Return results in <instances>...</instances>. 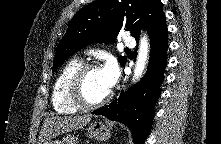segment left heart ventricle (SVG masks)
Listing matches in <instances>:
<instances>
[{
	"label": "left heart ventricle",
	"mask_w": 221,
	"mask_h": 144,
	"mask_svg": "<svg viewBox=\"0 0 221 144\" xmlns=\"http://www.w3.org/2000/svg\"><path fill=\"white\" fill-rule=\"evenodd\" d=\"M109 91L104 82L101 69L92 70L86 75L83 82V92L87 100L96 102Z\"/></svg>",
	"instance_id": "left-heart-ventricle-1"
}]
</instances>
